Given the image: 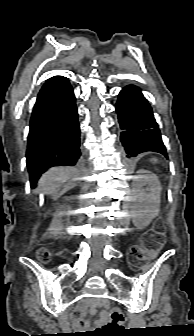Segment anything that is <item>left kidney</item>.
Returning <instances> with one entry per match:
<instances>
[{"label":"left kidney","mask_w":194,"mask_h":336,"mask_svg":"<svg viewBox=\"0 0 194 336\" xmlns=\"http://www.w3.org/2000/svg\"><path fill=\"white\" fill-rule=\"evenodd\" d=\"M138 173L133 176L130 213L135 226L143 228L159 214L162 188L155 174L146 170H139Z\"/></svg>","instance_id":"5707ae66"}]
</instances>
